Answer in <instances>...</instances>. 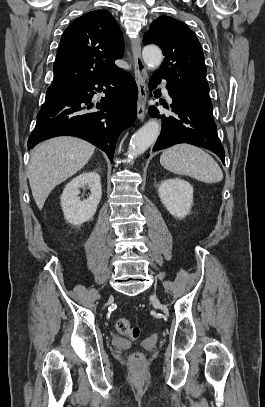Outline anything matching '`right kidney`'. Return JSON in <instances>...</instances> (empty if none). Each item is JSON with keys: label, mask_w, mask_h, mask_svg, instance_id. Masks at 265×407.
I'll return each instance as SVG.
<instances>
[{"label": "right kidney", "mask_w": 265, "mask_h": 407, "mask_svg": "<svg viewBox=\"0 0 265 407\" xmlns=\"http://www.w3.org/2000/svg\"><path fill=\"white\" fill-rule=\"evenodd\" d=\"M88 186L91 194L87 200H80L79 189ZM102 196L101 180L96 171L84 172L72 179L61 195V207L68 223L81 225L90 220Z\"/></svg>", "instance_id": "obj_1"}]
</instances>
